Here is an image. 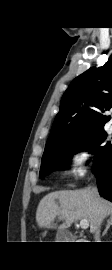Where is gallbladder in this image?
I'll return each instance as SVG.
<instances>
[{"label": "gallbladder", "instance_id": "bac80fb5", "mask_svg": "<svg viewBox=\"0 0 112 270\" xmlns=\"http://www.w3.org/2000/svg\"><path fill=\"white\" fill-rule=\"evenodd\" d=\"M75 237L69 231L61 229L56 234V240L59 242H70L74 240Z\"/></svg>", "mask_w": 112, "mask_h": 270}]
</instances>
